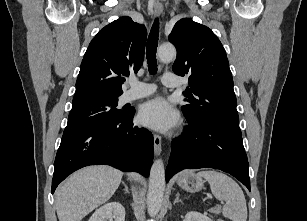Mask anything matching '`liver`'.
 I'll return each mask as SVG.
<instances>
[{"mask_svg": "<svg viewBox=\"0 0 307 221\" xmlns=\"http://www.w3.org/2000/svg\"><path fill=\"white\" fill-rule=\"evenodd\" d=\"M122 176L120 170L103 165L76 171L56 190L59 221H81L113 196Z\"/></svg>", "mask_w": 307, "mask_h": 221, "instance_id": "6515ba94", "label": "liver"}]
</instances>
